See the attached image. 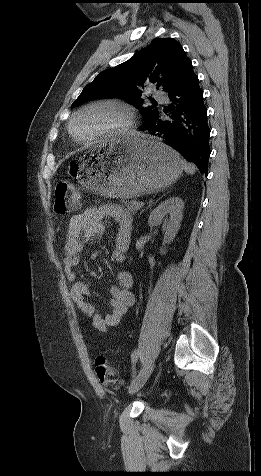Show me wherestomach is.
<instances>
[{"label":"stomach","instance_id":"0dacf381","mask_svg":"<svg viewBox=\"0 0 261 476\" xmlns=\"http://www.w3.org/2000/svg\"><path fill=\"white\" fill-rule=\"evenodd\" d=\"M177 152L151 136L126 135L97 144L69 164L77 183L106 197L131 199L155 193L182 174Z\"/></svg>","mask_w":261,"mask_h":476}]
</instances>
